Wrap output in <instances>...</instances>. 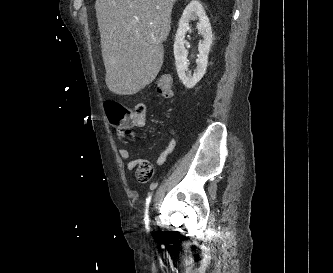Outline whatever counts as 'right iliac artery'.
Returning <instances> with one entry per match:
<instances>
[{"instance_id":"82829eb1","label":"right iliac artery","mask_w":333,"mask_h":273,"mask_svg":"<svg viewBox=\"0 0 333 273\" xmlns=\"http://www.w3.org/2000/svg\"><path fill=\"white\" fill-rule=\"evenodd\" d=\"M151 200V196H149L146 200V210H145V217H144V221H145V227L147 230H149V216H148V207H149V203Z\"/></svg>"}]
</instances>
